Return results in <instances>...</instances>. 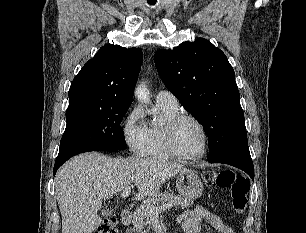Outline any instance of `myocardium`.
I'll use <instances>...</instances> for the list:
<instances>
[{
	"instance_id": "myocardium-1",
	"label": "myocardium",
	"mask_w": 306,
	"mask_h": 233,
	"mask_svg": "<svg viewBox=\"0 0 306 233\" xmlns=\"http://www.w3.org/2000/svg\"><path fill=\"white\" fill-rule=\"evenodd\" d=\"M184 121H192L194 122L200 129L202 136H203V148L202 151L199 154L195 155H186L179 151L176 145L175 136L176 131L179 125ZM165 141L168 150L172 154V156L182 159V160H197L200 158H203L209 147V137L207 130L204 126V124L195 116L190 114H178L175 117L171 118L166 122L165 129Z\"/></svg>"
}]
</instances>
